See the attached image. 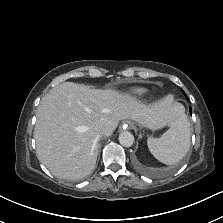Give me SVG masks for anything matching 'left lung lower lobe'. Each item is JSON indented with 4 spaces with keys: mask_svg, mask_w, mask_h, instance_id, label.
I'll return each instance as SVG.
<instances>
[{
    "mask_svg": "<svg viewBox=\"0 0 223 223\" xmlns=\"http://www.w3.org/2000/svg\"><path fill=\"white\" fill-rule=\"evenodd\" d=\"M190 112H192V109H191V107H190Z\"/></svg>",
    "mask_w": 223,
    "mask_h": 223,
    "instance_id": "left-lung-lower-lobe-1",
    "label": "left lung lower lobe"
}]
</instances>
